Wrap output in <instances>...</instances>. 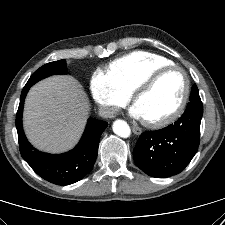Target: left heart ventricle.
Segmentation results:
<instances>
[{"mask_svg":"<svg viewBox=\"0 0 225 225\" xmlns=\"http://www.w3.org/2000/svg\"><path fill=\"white\" fill-rule=\"evenodd\" d=\"M183 75L172 70L160 77L154 86L137 99L135 106L145 120H157L171 113L181 100Z\"/></svg>","mask_w":225,"mask_h":225,"instance_id":"obj_1","label":"left heart ventricle"}]
</instances>
